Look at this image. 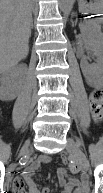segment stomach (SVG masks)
I'll return each instance as SVG.
<instances>
[{"label":"stomach","instance_id":"1","mask_svg":"<svg viewBox=\"0 0 103 193\" xmlns=\"http://www.w3.org/2000/svg\"><path fill=\"white\" fill-rule=\"evenodd\" d=\"M78 5L82 13H99L102 11L103 0H78Z\"/></svg>","mask_w":103,"mask_h":193}]
</instances>
